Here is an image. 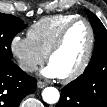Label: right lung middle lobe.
Segmentation results:
<instances>
[{"mask_svg": "<svg viewBox=\"0 0 107 107\" xmlns=\"http://www.w3.org/2000/svg\"><path fill=\"white\" fill-rule=\"evenodd\" d=\"M26 27L27 25L21 19L0 13V61H12L11 41Z\"/></svg>", "mask_w": 107, "mask_h": 107, "instance_id": "right-lung-middle-lobe-1", "label": "right lung middle lobe"}]
</instances>
